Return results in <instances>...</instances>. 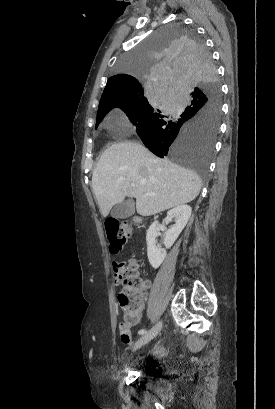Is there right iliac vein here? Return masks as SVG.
<instances>
[{"label":"right iliac vein","instance_id":"63e3f726","mask_svg":"<svg viewBox=\"0 0 275 409\" xmlns=\"http://www.w3.org/2000/svg\"><path fill=\"white\" fill-rule=\"evenodd\" d=\"M162 329V322H158L155 326H153L150 331L146 332L143 336H141L138 341L136 342L135 346L133 347V351H136L143 345L147 344L149 341L154 339Z\"/></svg>","mask_w":275,"mask_h":409}]
</instances>
